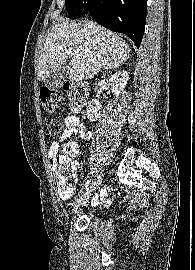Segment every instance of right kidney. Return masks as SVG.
Segmentation results:
<instances>
[{"label":"right kidney","instance_id":"right-kidney-1","mask_svg":"<svg viewBox=\"0 0 195 270\" xmlns=\"http://www.w3.org/2000/svg\"><path fill=\"white\" fill-rule=\"evenodd\" d=\"M129 75L125 70L118 71L112 75L109 79L101 81L98 85L100 89L104 87H111V91L114 95L119 93L125 88ZM102 106L97 99H92L86 108V115L89 121L95 122L101 115Z\"/></svg>","mask_w":195,"mask_h":270}]
</instances>
